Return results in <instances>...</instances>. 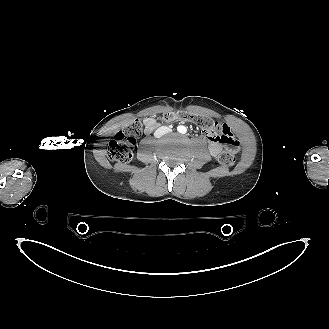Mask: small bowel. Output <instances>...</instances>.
I'll return each mask as SVG.
<instances>
[{
	"label": "small bowel",
	"mask_w": 329,
	"mask_h": 329,
	"mask_svg": "<svg viewBox=\"0 0 329 329\" xmlns=\"http://www.w3.org/2000/svg\"><path fill=\"white\" fill-rule=\"evenodd\" d=\"M145 123H146V132H151L152 130H154L157 127V123L151 118H146ZM224 127H225L226 132L232 136L230 128L227 125H224ZM204 134L208 140L209 151H210L211 155L214 157H218L220 155L221 149H222L220 141L212 133L204 132Z\"/></svg>",
	"instance_id": "small-bowel-1"
}]
</instances>
